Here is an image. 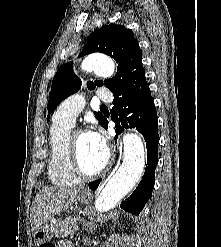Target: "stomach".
I'll list each match as a JSON object with an SVG mask.
<instances>
[{
  "mask_svg": "<svg viewBox=\"0 0 221 247\" xmlns=\"http://www.w3.org/2000/svg\"><path fill=\"white\" fill-rule=\"evenodd\" d=\"M81 204H86L89 202V196L80 193L77 197ZM53 238V229L50 222H45L34 230V243L36 247H42L44 244L49 242Z\"/></svg>",
  "mask_w": 221,
  "mask_h": 247,
  "instance_id": "0dacf381",
  "label": "stomach"
}]
</instances>
